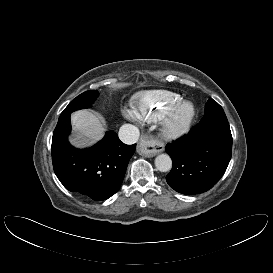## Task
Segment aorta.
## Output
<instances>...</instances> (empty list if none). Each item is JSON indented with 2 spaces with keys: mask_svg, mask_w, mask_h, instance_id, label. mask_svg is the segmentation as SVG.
<instances>
[{
  "mask_svg": "<svg viewBox=\"0 0 273 273\" xmlns=\"http://www.w3.org/2000/svg\"><path fill=\"white\" fill-rule=\"evenodd\" d=\"M155 166L160 172H167L172 168V160L167 154H160L155 158Z\"/></svg>",
  "mask_w": 273,
  "mask_h": 273,
  "instance_id": "obj_1",
  "label": "aorta"
}]
</instances>
